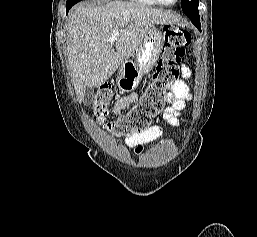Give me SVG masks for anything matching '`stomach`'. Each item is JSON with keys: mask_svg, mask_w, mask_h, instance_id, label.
<instances>
[{"mask_svg": "<svg viewBox=\"0 0 257 237\" xmlns=\"http://www.w3.org/2000/svg\"><path fill=\"white\" fill-rule=\"evenodd\" d=\"M163 32L152 27L142 39L136 51L135 61H125L118 72L117 84L122 92L133 91L144 74L148 73L157 62L161 53Z\"/></svg>", "mask_w": 257, "mask_h": 237, "instance_id": "1", "label": "stomach"}]
</instances>
